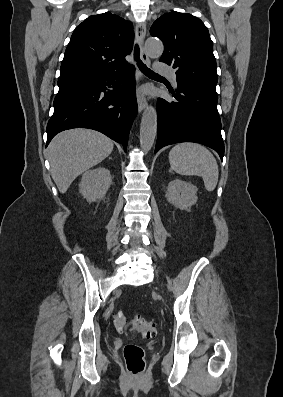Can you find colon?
I'll return each instance as SVG.
<instances>
[{
	"label": "colon",
	"instance_id": "1",
	"mask_svg": "<svg viewBox=\"0 0 283 397\" xmlns=\"http://www.w3.org/2000/svg\"><path fill=\"white\" fill-rule=\"evenodd\" d=\"M113 324L119 332H124L128 327H131L145 338H150L156 333V324L153 320L145 319L141 316H135L131 321H129L122 310H116L114 312ZM123 356L129 374L135 377L143 374L146 364L145 352L141 346L133 343L125 345Z\"/></svg>",
	"mask_w": 283,
	"mask_h": 397
}]
</instances>
